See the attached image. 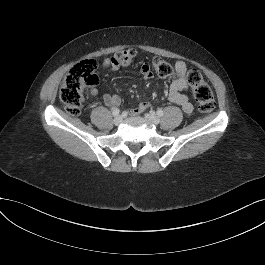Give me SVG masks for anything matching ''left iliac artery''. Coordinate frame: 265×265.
Masks as SVG:
<instances>
[{"label": "left iliac artery", "instance_id": "obj_1", "mask_svg": "<svg viewBox=\"0 0 265 265\" xmlns=\"http://www.w3.org/2000/svg\"><path fill=\"white\" fill-rule=\"evenodd\" d=\"M163 114H164V113H163V111H162V110H158V111H157V115H158V116L162 117V116H163Z\"/></svg>", "mask_w": 265, "mask_h": 265}]
</instances>
